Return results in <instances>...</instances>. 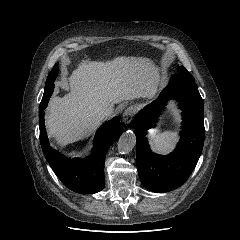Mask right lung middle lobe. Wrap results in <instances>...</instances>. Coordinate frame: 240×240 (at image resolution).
Segmentation results:
<instances>
[{
	"mask_svg": "<svg viewBox=\"0 0 240 240\" xmlns=\"http://www.w3.org/2000/svg\"><path fill=\"white\" fill-rule=\"evenodd\" d=\"M57 74H58V65L55 64V66L49 73L48 78L46 80L45 90H44L42 101L40 103V108L44 107V105L48 103L49 98L51 97L54 90V81L57 77Z\"/></svg>",
	"mask_w": 240,
	"mask_h": 240,
	"instance_id": "right-lung-middle-lobe-1",
	"label": "right lung middle lobe"
}]
</instances>
